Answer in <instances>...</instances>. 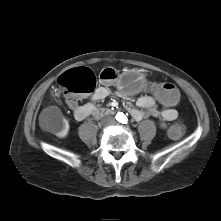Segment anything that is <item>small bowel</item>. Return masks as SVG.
Here are the masks:
<instances>
[{"label":"small bowel","mask_w":221,"mask_h":221,"mask_svg":"<svg viewBox=\"0 0 221 221\" xmlns=\"http://www.w3.org/2000/svg\"><path fill=\"white\" fill-rule=\"evenodd\" d=\"M110 89L103 85L98 87L91 95L90 101L85 104H79L77 98H67V104L73 111L76 120L81 121L95 114L99 108L96 103L105 99L110 94ZM126 104L130 115L137 121L148 117L160 118L164 121H174L178 117V112L175 108H159V101L150 95L140 96L136 100V107H133L129 98Z\"/></svg>","instance_id":"small-bowel-1"}]
</instances>
